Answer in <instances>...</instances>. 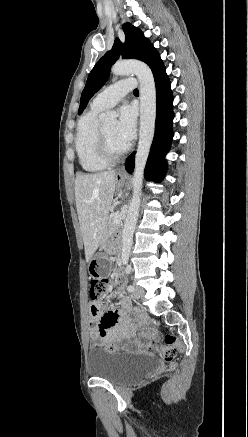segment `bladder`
Masks as SVG:
<instances>
[{
    "label": "bladder",
    "instance_id": "bladder-1",
    "mask_svg": "<svg viewBox=\"0 0 248 437\" xmlns=\"http://www.w3.org/2000/svg\"><path fill=\"white\" fill-rule=\"evenodd\" d=\"M89 374L113 384H124L152 373L157 360L144 353H117L92 350L88 355Z\"/></svg>",
    "mask_w": 248,
    "mask_h": 437
}]
</instances>
